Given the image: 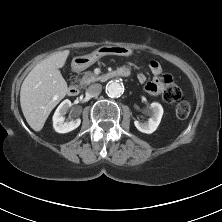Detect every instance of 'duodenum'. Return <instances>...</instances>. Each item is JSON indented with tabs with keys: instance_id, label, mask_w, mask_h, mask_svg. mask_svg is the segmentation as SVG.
<instances>
[{
	"instance_id": "obj_1",
	"label": "duodenum",
	"mask_w": 222,
	"mask_h": 222,
	"mask_svg": "<svg viewBox=\"0 0 222 222\" xmlns=\"http://www.w3.org/2000/svg\"><path fill=\"white\" fill-rule=\"evenodd\" d=\"M74 70L77 71L78 68L77 67H74ZM129 74V71L128 69L126 68H120V69H117L111 73H108L105 78H117V77H126L127 75ZM68 94L70 96H77L79 94V88L76 86V85H71L69 88H68Z\"/></svg>"
}]
</instances>
